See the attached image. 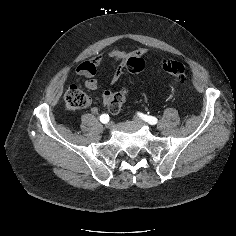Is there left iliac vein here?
<instances>
[{"label": "left iliac vein", "mask_w": 236, "mask_h": 236, "mask_svg": "<svg viewBox=\"0 0 236 236\" xmlns=\"http://www.w3.org/2000/svg\"><path fill=\"white\" fill-rule=\"evenodd\" d=\"M134 121L141 123V124H145V125L147 124L144 120H142L141 118H138V117H135Z\"/></svg>", "instance_id": "1"}]
</instances>
